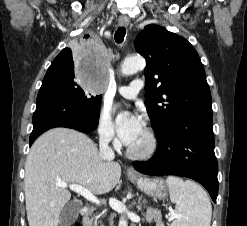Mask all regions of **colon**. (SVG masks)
<instances>
[{
    "instance_id": "1",
    "label": "colon",
    "mask_w": 247,
    "mask_h": 226,
    "mask_svg": "<svg viewBox=\"0 0 247 226\" xmlns=\"http://www.w3.org/2000/svg\"><path fill=\"white\" fill-rule=\"evenodd\" d=\"M74 226H79L78 224H75Z\"/></svg>"
}]
</instances>
